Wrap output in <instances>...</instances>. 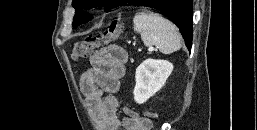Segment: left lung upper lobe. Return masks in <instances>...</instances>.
<instances>
[{
	"label": "left lung upper lobe",
	"instance_id": "5c2ea615",
	"mask_svg": "<svg viewBox=\"0 0 257 130\" xmlns=\"http://www.w3.org/2000/svg\"><path fill=\"white\" fill-rule=\"evenodd\" d=\"M137 0H73L72 5L75 8V16L73 19V27H77L80 24L87 23L91 17L83 11V9H91L93 7L104 6L105 11L114 7L132 3L135 4Z\"/></svg>",
	"mask_w": 257,
	"mask_h": 130
}]
</instances>
